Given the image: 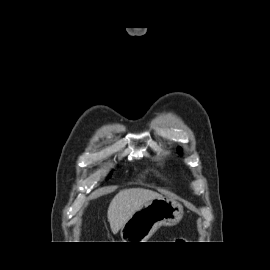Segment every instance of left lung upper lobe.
Segmentation results:
<instances>
[{
	"instance_id": "1",
	"label": "left lung upper lobe",
	"mask_w": 270,
	"mask_h": 270,
	"mask_svg": "<svg viewBox=\"0 0 270 270\" xmlns=\"http://www.w3.org/2000/svg\"><path fill=\"white\" fill-rule=\"evenodd\" d=\"M178 152H179V154H180V155L182 154V151H181V149H180V148H178Z\"/></svg>"
}]
</instances>
